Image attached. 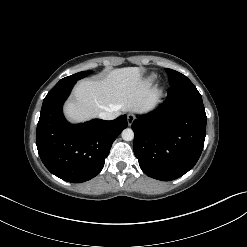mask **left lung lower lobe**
I'll list each match as a JSON object with an SVG mask.
<instances>
[{
    "label": "left lung lower lobe",
    "mask_w": 247,
    "mask_h": 247,
    "mask_svg": "<svg viewBox=\"0 0 247 247\" xmlns=\"http://www.w3.org/2000/svg\"><path fill=\"white\" fill-rule=\"evenodd\" d=\"M206 121L196 87H170L158 110L138 115L132 124L134 153L142 171L162 181L187 173L203 150Z\"/></svg>",
    "instance_id": "obj_1"
}]
</instances>
